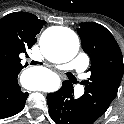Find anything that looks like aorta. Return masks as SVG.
Returning a JSON list of instances; mask_svg holds the SVG:
<instances>
[{"label":"aorta","instance_id":"1","mask_svg":"<svg viewBox=\"0 0 124 124\" xmlns=\"http://www.w3.org/2000/svg\"><path fill=\"white\" fill-rule=\"evenodd\" d=\"M44 55L55 62L65 63L73 59L79 50V39L77 35L68 28H61L55 37L44 34L40 41ZM23 77H28L24 85L29 90L40 89V85L28 72L23 73Z\"/></svg>","mask_w":124,"mask_h":124}]
</instances>
